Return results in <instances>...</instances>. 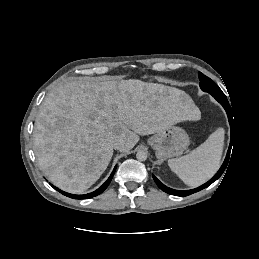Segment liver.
<instances>
[{
	"label": "liver",
	"mask_w": 259,
	"mask_h": 259,
	"mask_svg": "<svg viewBox=\"0 0 259 259\" xmlns=\"http://www.w3.org/2000/svg\"><path fill=\"white\" fill-rule=\"evenodd\" d=\"M200 110L183 91L129 79L71 78L53 90L38 113L34 150L45 176L60 189L82 193L107 169L112 142L131 150L139 135L158 133Z\"/></svg>",
	"instance_id": "6515ba94"
}]
</instances>
